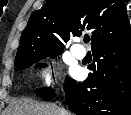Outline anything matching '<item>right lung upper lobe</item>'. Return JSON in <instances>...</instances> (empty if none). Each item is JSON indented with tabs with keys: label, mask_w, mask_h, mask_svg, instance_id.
<instances>
[{
	"label": "right lung upper lobe",
	"mask_w": 131,
	"mask_h": 115,
	"mask_svg": "<svg viewBox=\"0 0 131 115\" xmlns=\"http://www.w3.org/2000/svg\"><path fill=\"white\" fill-rule=\"evenodd\" d=\"M92 34V50L131 37L123 0H51L34 12L23 30L16 59L30 52H61L63 41Z\"/></svg>",
	"instance_id": "1"
}]
</instances>
